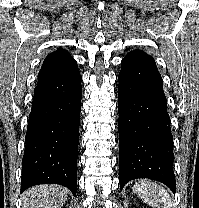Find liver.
Listing matches in <instances>:
<instances>
[{"instance_id":"obj_1","label":"liver","mask_w":199,"mask_h":208,"mask_svg":"<svg viewBox=\"0 0 199 208\" xmlns=\"http://www.w3.org/2000/svg\"><path fill=\"white\" fill-rule=\"evenodd\" d=\"M68 191L60 185H38L25 192L23 208H61Z\"/></svg>"}]
</instances>
